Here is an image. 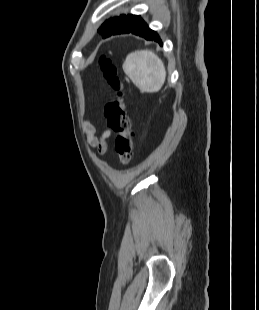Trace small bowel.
Segmentation results:
<instances>
[{"label":"small bowel","instance_id":"c3829d8e","mask_svg":"<svg viewBox=\"0 0 259 310\" xmlns=\"http://www.w3.org/2000/svg\"><path fill=\"white\" fill-rule=\"evenodd\" d=\"M82 127L87 135L89 145L95 148L99 154H104L107 149L106 141L111 133L109 131H104L100 136H97L94 126L89 122H84Z\"/></svg>","mask_w":259,"mask_h":310}]
</instances>
